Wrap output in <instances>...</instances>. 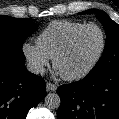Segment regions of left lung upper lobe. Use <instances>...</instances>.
I'll return each mask as SVG.
<instances>
[{
	"instance_id": "1",
	"label": "left lung upper lobe",
	"mask_w": 119,
	"mask_h": 119,
	"mask_svg": "<svg viewBox=\"0 0 119 119\" xmlns=\"http://www.w3.org/2000/svg\"><path fill=\"white\" fill-rule=\"evenodd\" d=\"M95 13L97 19L103 24L107 35L106 45L102 57L90 73L102 75L115 67H119V25L103 11L90 9L80 14Z\"/></svg>"
}]
</instances>
